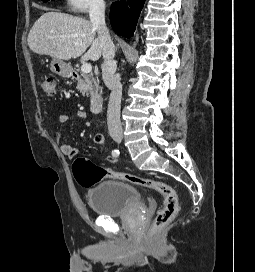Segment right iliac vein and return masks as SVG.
<instances>
[{
  "label": "right iliac vein",
  "instance_id": "obj_1",
  "mask_svg": "<svg viewBox=\"0 0 255 272\" xmlns=\"http://www.w3.org/2000/svg\"><path fill=\"white\" fill-rule=\"evenodd\" d=\"M122 138H123L122 135H114V136H113V139H114L116 142H121V141H122Z\"/></svg>",
  "mask_w": 255,
  "mask_h": 272
}]
</instances>
